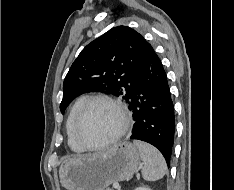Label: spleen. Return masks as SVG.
<instances>
[{"instance_id": "spleen-1", "label": "spleen", "mask_w": 234, "mask_h": 190, "mask_svg": "<svg viewBox=\"0 0 234 190\" xmlns=\"http://www.w3.org/2000/svg\"><path fill=\"white\" fill-rule=\"evenodd\" d=\"M134 145L139 149L144 167L142 176L146 181H157L164 177L167 165L162 154L152 145L143 141L134 140Z\"/></svg>"}]
</instances>
